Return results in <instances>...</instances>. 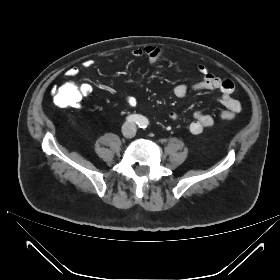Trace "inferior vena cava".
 <instances>
[{
  "instance_id": "602c4592",
  "label": "inferior vena cava",
  "mask_w": 280,
  "mask_h": 280,
  "mask_svg": "<svg viewBox=\"0 0 280 280\" xmlns=\"http://www.w3.org/2000/svg\"><path fill=\"white\" fill-rule=\"evenodd\" d=\"M128 126L131 128L130 135H134L136 132V126L134 124H128Z\"/></svg>"
}]
</instances>
